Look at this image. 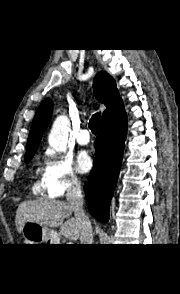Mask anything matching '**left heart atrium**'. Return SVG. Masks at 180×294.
Here are the masks:
<instances>
[{"instance_id":"39dd6f15","label":"left heart atrium","mask_w":180,"mask_h":294,"mask_svg":"<svg viewBox=\"0 0 180 294\" xmlns=\"http://www.w3.org/2000/svg\"><path fill=\"white\" fill-rule=\"evenodd\" d=\"M76 167L77 170L81 173H86L91 169L92 159L87 152H79V154L76 157Z\"/></svg>"}]
</instances>
